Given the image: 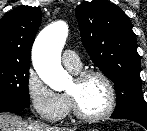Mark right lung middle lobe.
Listing matches in <instances>:
<instances>
[{
	"instance_id": "1",
	"label": "right lung middle lobe",
	"mask_w": 147,
	"mask_h": 131,
	"mask_svg": "<svg viewBox=\"0 0 147 131\" xmlns=\"http://www.w3.org/2000/svg\"><path fill=\"white\" fill-rule=\"evenodd\" d=\"M28 64L0 61V102L29 107Z\"/></svg>"
}]
</instances>
